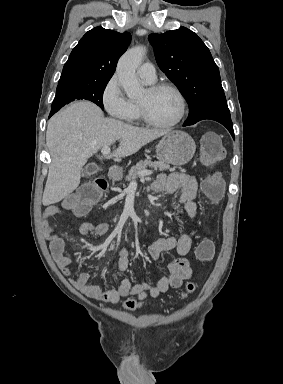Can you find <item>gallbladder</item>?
<instances>
[{
  "label": "gallbladder",
  "instance_id": "obj_1",
  "mask_svg": "<svg viewBox=\"0 0 283 384\" xmlns=\"http://www.w3.org/2000/svg\"><path fill=\"white\" fill-rule=\"evenodd\" d=\"M88 170H89L88 175L90 177H94L96 175V172H98L99 167L98 165H89Z\"/></svg>",
  "mask_w": 283,
  "mask_h": 384
}]
</instances>
